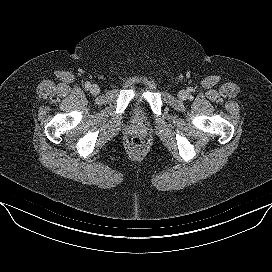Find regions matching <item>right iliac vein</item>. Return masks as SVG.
Segmentation results:
<instances>
[{
	"mask_svg": "<svg viewBox=\"0 0 272 272\" xmlns=\"http://www.w3.org/2000/svg\"><path fill=\"white\" fill-rule=\"evenodd\" d=\"M90 92H91V94H93V95H98V94L100 93V88H99V86L96 85V84L91 85V86H90Z\"/></svg>",
	"mask_w": 272,
	"mask_h": 272,
	"instance_id": "obj_1",
	"label": "right iliac vein"
}]
</instances>
